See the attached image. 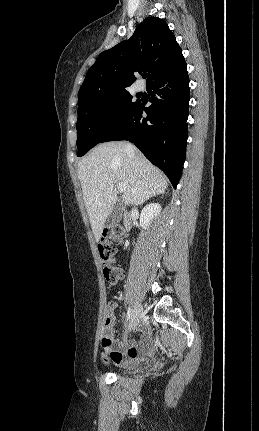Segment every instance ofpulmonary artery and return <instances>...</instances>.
I'll list each match as a JSON object with an SVG mask.
<instances>
[{"label": "pulmonary artery", "instance_id": "pulmonary-artery-1", "mask_svg": "<svg viewBox=\"0 0 259 431\" xmlns=\"http://www.w3.org/2000/svg\"><path fill=\"white\" fill-rule=\"evenodd\" d=\"M143 89V85L141 83L136 84V90L141 91Z\"/></svg>", "mask_w": 259, "mask_h": 431}]
</instances>
